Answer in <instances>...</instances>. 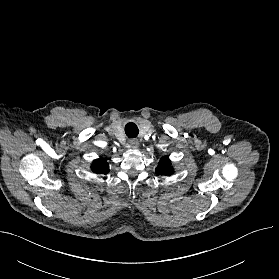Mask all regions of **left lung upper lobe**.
<instances>
[{
    "instance_id": "1",
    "label": "left lung upper lobe",
    "mask_w": 279,
    "mask_h": 279,
    "mask_svg": "<svg viewBox=\"0 0 279 279\" xmlns=\"http://www.w3.org/2000/svg\"><path fill=\"white\" fill-rule=\"evenodd\" d=\"M156 173L158 175H171L173 173L171 161L169 160L168 156L161 158L156 168Z\"/></svg>"
}]
</instances>
